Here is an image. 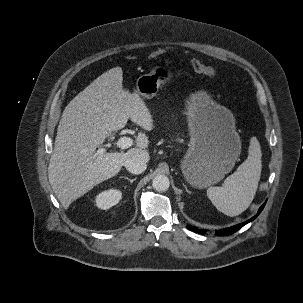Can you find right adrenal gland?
Segmentation results:
<instances>
[{
	"label": "right adrenal gland",
	"mask_w": 303,
	"mask_h": 303,
	"mask_svg": "<svg viewBox=\"0 0 303 303\" xmlns=\"http://www.w3.org/2000/svg\"><path fill=\"white\" fill-rule=\"evenodd\" d=\"M121 178H124V179L130 181V183H133L136 180V178L130 179L129 177H121Z\"/></svg>",
	"instance_id": "2a0ac1e0"
}]
</instances>
